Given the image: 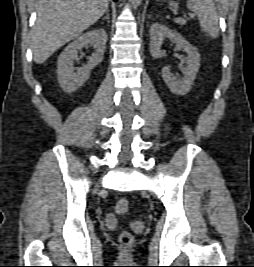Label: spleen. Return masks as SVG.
Segmentation results:
<instances>
[{
	"instance_id": "3e777b00",
	"label": "spleen",
	"mask_w": 254,
	"mask_h": 267,
	"mask_svg": "<svg viewBox=\"0 0 254 267\" xmlns=\"http://www.w3.org/2000/svg\"><path fill=\"white\" fill-rule=\"evenodd\" d=\"M187 8L199 19L200 27L207 36L217 38L219 33V16L213 0H187Z\"/></svg>"
}]
</instances>
